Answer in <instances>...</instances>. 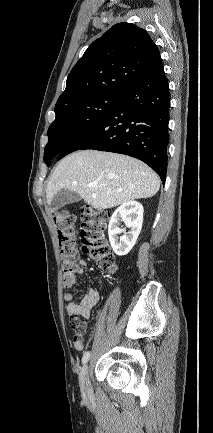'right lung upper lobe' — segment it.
<instances>
[{
  "label": "right lung upper lobe",
  "instance_id": "1",
  "mask_svg": "<svg viewBox=\"0 0 213 433\" xmlns=\"http://www.w3.org/2000/svg\"><path fill=\"white\" fill-rule=\"evenodd\" d=\"M160 59V52L142 28L118 23L95 40L67 78L55 110L99 94L122 95Z\"/></svg>",
  "mask_w": 213,
  "mask_h": 433
}]
</instances>
